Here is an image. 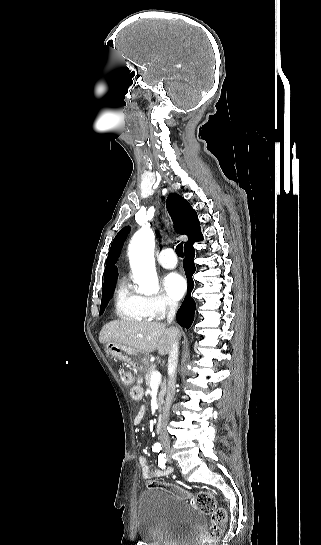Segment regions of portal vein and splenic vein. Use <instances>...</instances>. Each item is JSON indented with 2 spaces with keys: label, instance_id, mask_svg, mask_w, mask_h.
I'll list each match as a JSON object with an SVG mask.
<instances>
[{
  "label": "portal vein and splenic vein",
  "instance_id": "1",
  "mask_svg": "<svg viewBox=\"0 0 321 545\" xmlns=\"http://www.w3.org/2000/svg\"><path fill=\"white\" fill-rule=\"evenodd\" d=\"M162 381V375L159 373V371L153 370V373H151V381H150V387H154V385H160Z\"/></svg>",
  "mask_w": 321,
  "mask_h": 545
}]
</instances>
